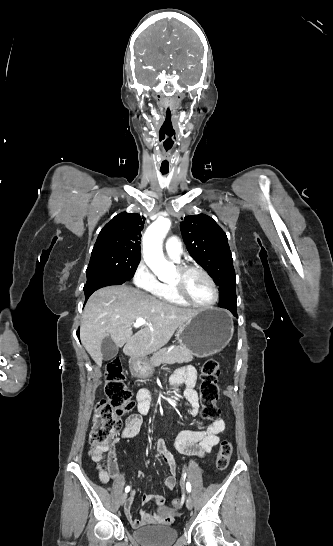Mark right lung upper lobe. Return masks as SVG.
<instances>
[{"mask_svg": "<svg viewBox=\"0 0 333 546\" xmlns=\"http://www.w3.org/2000/svg\"><path fill=\"white\" fill-rule=\"evenodd\" d=\"M144 217L122 212L100 231L92 252L113 250L126 252L140 260V238Z\"/></svg>", "mask_w": 333, "mask_h": 546, "instance_id": "obj_1", "label": "right lung upper lobe"}]
</instances>
